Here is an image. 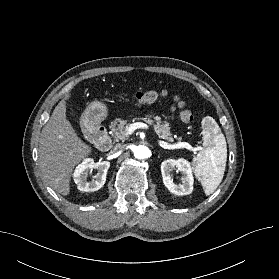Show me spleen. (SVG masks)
I'll list each match as a JSON object with an SVG mask.
<instances>
[{"label":"spleen","instance_id":"spleen-1","mask_svg":"<svg viewBox=\"0 0 279 279\" xmlns=\"http://www.w3.org/2000/svg\"><path fill=\"white\" fill-rule=\"evenodd\" d=\"M203 150L193 159V170L206 195L212 194L221 183L227 161L225 136L210 116L202 120Z\"/></svg>","mask_w":279,"mask_h":279}]
</instances>
